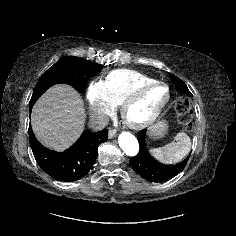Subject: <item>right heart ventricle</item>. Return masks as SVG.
Masks as SVG:
<instances>
[{"label": "right heart ventricle", "instance_id": "obj_1", "mask_svg": "<svg viewBox=\"0 0 236 236\" xmlns=\"http://www.w3.org/2000/svg\"><path fill=\"white\" fill-rule=\"evenodd\" d=\"M154 79L144 73L130 69H117L105 77L107 100L114 106L122 102L139 86Z\"/></svg>", "mask_w": 236, "mask_h": 236}]
</instances>
